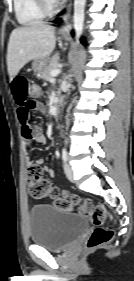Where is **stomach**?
Masks as SVG:
<instances>
[{
  "instance_id": "0dacf381",
  "label": "stomach",
  "mask_w": 134,
  "mask_h": 281,
  "mask_svg": "<svg viewBox=\"0 0 134 281\" xmlns=\"http://www.w3.org/2000/svg\"><path fill=\"white\" fill-rule=\"evenodd\" d=\"M63 37L65 39L69 38L68 35H66V34H63ZM48 63H49L48 58L47 59H35L33 61L32 67L35 72L41 73L45 69V67L48 65Z\"/></svg>"
}]
</instances>
